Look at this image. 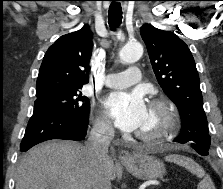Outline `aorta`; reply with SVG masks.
Returning a JSON list of instances; mask_svg holds the SVG:
<instances>
[{"instance_id": "762f6f07", "label": "aorta", "mask_w": 223, "mask_h": 189, "mask_svg": "<svg viewBox=\"0 0 223 189\" xmlns=\"http://www.w3.org/2000/svg\"><path fill=\"white\" fill-rule=\"evenodd\" d=\"M143 54V47L138 42L126 44L120 51L119 57L122 63L130 64L138 61Z\"/></svg>"}]
</instances>
